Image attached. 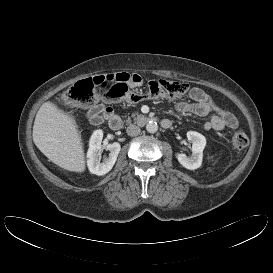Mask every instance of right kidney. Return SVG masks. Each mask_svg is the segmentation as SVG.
Instances as JSON below:
<instances>
[{
    "label": "right kidney",
    "instance_id": "1",
    "mask_svg": "<svg viewBox=\"0 0 273 273\" xmlns=\"http://www.w3.org/2000/svg\"><path fill=\"white\" fill-rule=\"evenodd\" d=\"M102 139L103 131H94L90 138L89 149L87 152V165L89 171L98 176L107 174L113 168L121 149V145L118 142L103 147L101 145ZM102 148L109 150L110 154L108 157H104L101 161L100 151Z\"/></svg>",
    "mask_w": 273,
    "mask_h": 273
}]
</instances>
